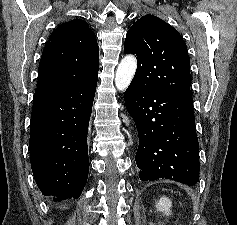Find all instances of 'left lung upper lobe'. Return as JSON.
Returning <instances> with one entry per match:
<instances>
[{"instance_id":"left-lung-upper-lobe-1","label":"left lung upper lobe","mask_w":237,"mask_h":225,"mask_svg":"<svg viewBox=\"0 0 237 225\" xmlns=\"http://www.w3.org/2000/svg\"><path fill=\"white\" fill-rule=\"evenodd\" d=\"M125 53L136 54L133 82L144 90L191 95L190 58L177 30L162 19L145 15L129 29Z\"/></svg>"}]
</instances>
